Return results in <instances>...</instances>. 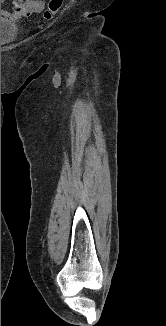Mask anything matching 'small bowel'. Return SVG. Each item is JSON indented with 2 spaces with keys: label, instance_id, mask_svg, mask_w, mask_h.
Returning a JSON list of instances; mask_svg holds the SVG:
<instances>
[{
  "label": "small bowel",
  "instance_id": "c3829d8e",
  "mask_svg": "<svg viewBox=\"0 0 166 326\" xmlns=\"http://www.w3.org/2000/svg\"><path fill=\"white\" fill-rule=\"evenodd\" d=\"M5 0H1V3ZM12 11H1V15L9 16L13 20L27 17L33 13H40L45 8L44 0H12Z\"/></svg>",
  "mask_w": 166,
  "mask_h": 326
}]
</instances>
